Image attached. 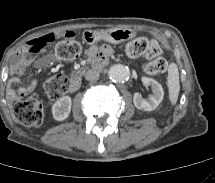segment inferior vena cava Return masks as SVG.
<instances>
[{
    "mask_svg": "<svg viewBox=\"0 0 215 183\" xmlns=\"http://www.w3.org/2000/svg\"><path fill=\"white\" fill-rule=\"evenodd\" d=\"M98 78H99V72L96 70H88L85 73L86 80L94 81V80H97Z\"/></svg>",
    "mask_w": 215,
    "mask_h": 183,
    "instance_id": "1",
    "label": "inferior vena cava"
}]
</instances>
